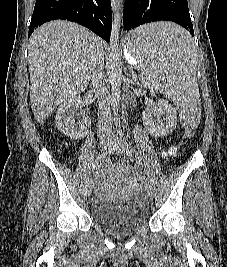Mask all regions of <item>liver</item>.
Returning <instances> with one entry per match:
<instances>
[{"mask_svg": "<svg viewBox=\"0 0 227 267\" xmlns=\"http://www.w3.org/2000/svg\"><path fill=\"white\" fill-rule=\"evenodd\" d=\"M102 47L94 33L69 21H50L34 31L28 51L30 104L39 123L87 88L96 51Z\"/></svg>", "mask_w": 227, "mask_h": 267, "instance_id": "1", "label": "liver"}]
</instances>
